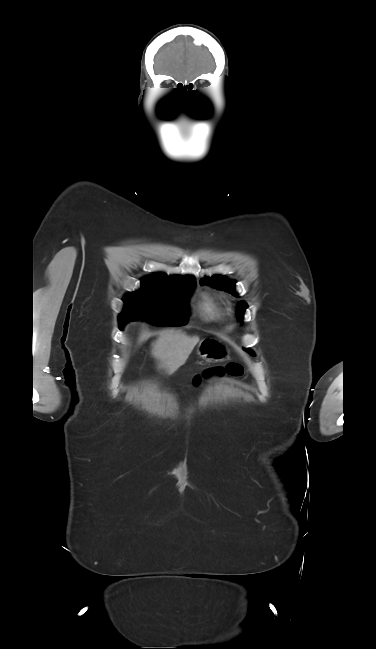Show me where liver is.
<instances>
[{"label": "liver", "instance_id": "1", "mask_svg": "<svg viewBox=\"0 0 376 649\" xmlns=\"http://www.w3.org/2000/svg\"><path fill=\"white\" fill-rule=\"evenodd\" d=\"M199 341L198 336L189 337L181 331L165 330L152 344L151 353L159 362V368L171 375L185 364Z\"/></svg>", "mask_w": 376, "mask_h": 649}]
</instances>
